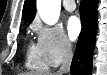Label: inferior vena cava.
Wrapping results in <instances>:
<instances>
[{"label":"inferior vena cava","instance_id":"1","mask_svg":"<svg viewBox=\"0 0 107 75\" xmlns=\"http://www.w3.org/2000/svg\"><path fill=\"white\" fill-rule=\"evenodd\" d=\"M73 58V51L71 44L66 42L63 49L62 63L57 72V75H64L70 72V66Z\"/></svg>","mask_w":107,"mask_h":75}]
</instances>
